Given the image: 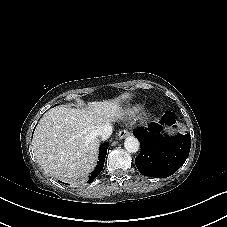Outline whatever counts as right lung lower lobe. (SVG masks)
I'll use <instances>...</instances> for the list:
<instances>
[{
  "mask_svg": "<svg viewBox=\"0 0 227 227\" xmlns=\"http://www.w3.org/2000/svg\"><path fill=\"white\" fill-rule=\"evenodd\" d=\"M109 143L105 142L103 143L100 148H99V161H98V165L96 166L95 170L92 172L88 183L93 182V180L100 174V172L103 169L104 166V162H105V158H106V154H107V149H108Z\"/></svg>",
  "mask_w": 227,
  "mask_h": 227,
  "instance_id": "right-lung-lower-lobe-1",
  "label": "right lung lower lobe"
}]
</instances>
